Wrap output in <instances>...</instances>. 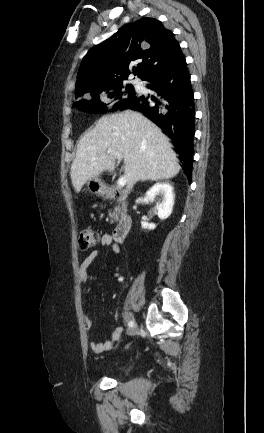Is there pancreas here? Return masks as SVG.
Instances as JSON below:
<instances>
[{"label": "pancreas", "instance_id": "cf45deb5", "mask_svg": "<svg viewBox=\"0 0 264 433\" xmlns=\"http://www.w3.org/2000/svg\"><path fill=\"white\" fill-rule=\"evenodd\" d=\"M126 212V204L122 202V204L116 206L113 212H109V216L111 217V222L119 220V215H123Z\"/></svg>", "mask_w": 264, "mask_h": 433}]
</instances>
